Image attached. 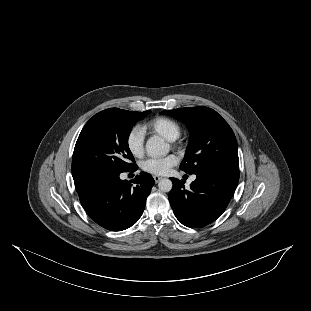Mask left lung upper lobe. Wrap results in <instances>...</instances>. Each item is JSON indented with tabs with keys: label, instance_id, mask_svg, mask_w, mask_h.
<instances>
[{
	"label": "left lung upper lobe",
	"instance_id": "left-lung-upper-lobe-1",
	"mask_svg": "<svg viewBox=\"0 0 311 311\" xmlns=\"http://www.w3.org/2000/svg\"><path fill=\"white\" fill-rule=\"evenodd\" d=\"M185 123L191 134L180 169L196 174L216 167H239L237 141L228 123L207 107L162 111Z\"/></svg>",
	"mask_w": 311,
	"mask_h": 311
}]
</instances>
